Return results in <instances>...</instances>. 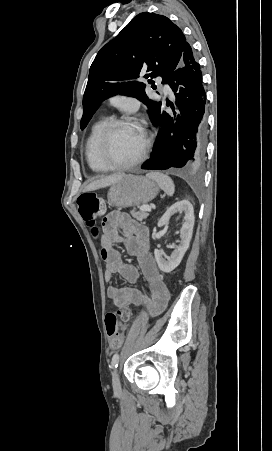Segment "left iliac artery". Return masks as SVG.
<instances>
[{"label":"left iliac artery","mask_w":272,"mask_h":451,"mask_svg":"<svg viewBox=\"0 0 272 451\" xmlns=\"http://www.w3.org/2000/svg\"><path fill=\"white\" fill-rule=\"evenodd\" d=\"M119 364V355L118 354H114L112 357V367L113 368H117Z\"/></svg>","instance_id":"44dca946"}]
</instances>
